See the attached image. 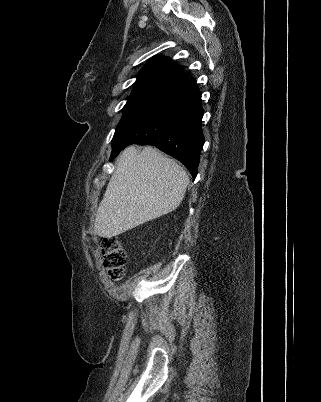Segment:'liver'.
Returning <instances> with one entry per match:
<instances>
[{
	"label": "liver",
	"mask_w": 321,
	"mask_h": 402,
	"mask_svg": "<svg viewBox=\"0 0 321 402\" xmlns=\"http://www.w3.org/2000/svg\"><path fill=\"white\" fill-rule=\"evenodd\" d=\"M188 183L184 169L155 148L128 147L97 209L94 233L111 238L172 212Z\"/></svg>",
	"instance_id": "liver-1"
}]
</instances>
